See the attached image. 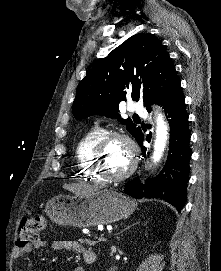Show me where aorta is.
I'll return each instance as SVG.
<instances>
[{"label": "aorta", "instance_id": "aorta-1", "mask_svg": "<svg viewBox=\"0 0 221 271\" xmlns=\"http://www.w3.org/2000/svg\"><path fill=\"white\" fill-rule=\"evenodd\" d=\"M154 140V151L152 154V161L157 164L164 153L166 143L168 140V125L165 122L164 115L159 113L156 118V134Z\"/></svg>", "mask_w": 221, "mask_h": 271}]
</instances>
